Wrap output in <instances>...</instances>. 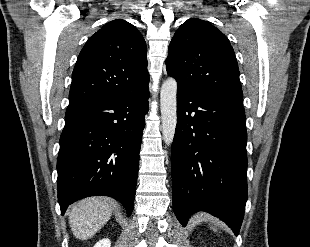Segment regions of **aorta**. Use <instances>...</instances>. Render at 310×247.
Returning a JSON list of instances; mask_svg holds the SVG:
<instances>
[{"label":"aorta","instance_id":"1","mask_svg":"<svg viewBox=\"0 0 310 247\" xmlns=\"http://www.w3.org/2000/svg\"><path fill=\"white\" fill-rule=\"evenodd\" d=\"M177 82L168 78L161 87L160 107L162 119V135L167 146L173 142L177 124Z\"/></svg>","mask_w":310,"mask_h":247}]
</instances>
